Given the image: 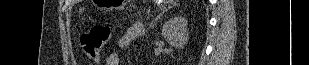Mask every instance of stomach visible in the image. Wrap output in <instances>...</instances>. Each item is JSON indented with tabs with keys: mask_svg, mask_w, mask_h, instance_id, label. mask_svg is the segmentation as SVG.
Here are the masks:
<instances>
[{
	"mask_svg": "<svg viewBox=\"0 0 309 65\" xmlns=\"http://www.w3.org/2000/svg\"><path fill=\"white\" fill-rule=\"evenodd\" d=\"M99 9L104 11H114L123 8L127 0H99L95 1Z\"/></svg>",
	"mask_w": 309,
	"mask_h": 65,
	"instance_id": "stomach-1",
	"label": "stomach"
}]
</instances>
